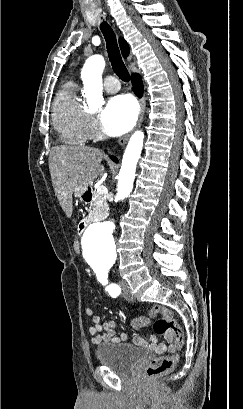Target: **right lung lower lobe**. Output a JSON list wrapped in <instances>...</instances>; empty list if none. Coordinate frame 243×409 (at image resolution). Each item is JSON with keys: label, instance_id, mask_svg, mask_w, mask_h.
<instances>
[{"label": "right lung lower lobe", "instance_id": "right-lung-lower-lobe-1", "mask_svg": "<svg viewBox=\"0 0 243 409\" xmlns=\"http://www.w3.org/2000/svg\"><path fill=\"white\" fill-rule=\"evenodd\" d=\"M134 92L140 97L142 95V81L139 74H133L131 76ZM112 160L117 162L115 157H112Z\"/></svg>", "mask_w": 243, "mask_h": 409}]
</instances>
